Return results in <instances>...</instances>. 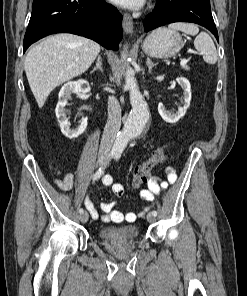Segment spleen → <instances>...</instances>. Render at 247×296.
<instances>
[{
  "label": "spleen",
  "mask_w": 247,
  "mask_h": 296,
  "mask_svg": "<svg viewBox=\"0 0 247 296\" xmlns=\"http://www.w3.org/2000/svg\"><path fill=\"white\" fill-rule=\"evenodd\" d=\"M168 27L188 35H196L194 46L197 51L203 54L204 61L212 65L217 62L218 55L212 38L206 32L199 33L198 26L192 23L177 22L170 24Z\"/></svg>",
  "instance_id": "3e777b00"
}]
</instances>
